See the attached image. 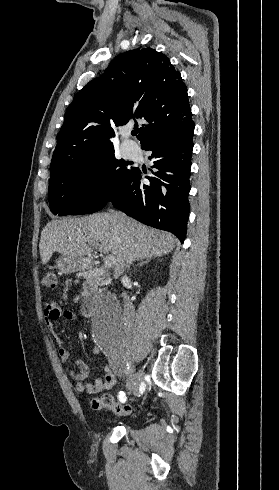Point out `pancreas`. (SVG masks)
<instances>
[{
    "mask_svg": "<svg viewBox=\"0 0 279 490\" xmlns=\"http://www.w3.org/2000/svg\"><path fill=\"white\" fill-rule=\"evenodd\" d=\"M85 282L82 284V296H89L98 286H104L108 280V272L104 268H89L84 276Z\"/></svg>",
    "mask_w": 279,
    "mask_h": 490,
    "instance_id": "obj_1",
    "label": "pancreas"
}]
</instances>
